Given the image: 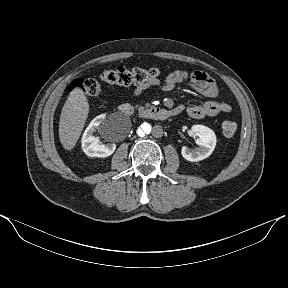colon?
<instances>
[{"label":"colon","mask_w":288,"mask_h":288,"mask_svg":"<svg viewBox=\"0 0 288 288\" xmlns=\"http://www.w3.org/2000/svg\"><path fill=\"white\" fill-rule=\"evenodd\" d=\"M158 72L155 68H132L127 69L119 67L117 69L104 70L100 78L102 81L109 84L118 85H138L157 77ZM79 89L87 96H98L102 93V87L100 83L91 78H77L73 80L69 86V90L73 91ZM237 131V124L232 120H226L222 123V132L225 136L231 137Z\"/></svg>","instance_id":"colon-1"}]
</instances>
